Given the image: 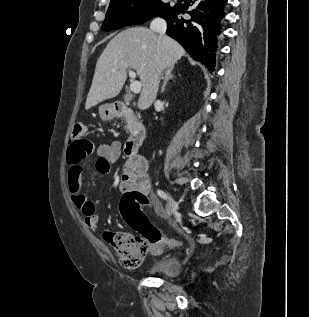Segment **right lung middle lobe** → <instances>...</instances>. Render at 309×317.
Returning <instances> with one entry per match:
<instances>
[{
    "instance_id": "right-lung-middle-lobe-1",
    "label": "right lung middle lobe",
    "mask_w": 309,
    "mask_h": 317,
    "mask_svg": "<svg viewBox=\"0 0 309 317\" xmlns=\"http://www.w3.org/2000/svg\"><path fill=\"white\" fill-rule=\"evenodd\" d=\"M169 9V3L160 0H111L101 29L111 31L144 23Z\"/></svg>"
}]
</instances>
